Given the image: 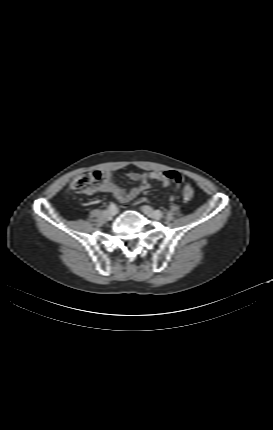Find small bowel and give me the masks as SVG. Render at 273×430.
<instances>
[{
	"label": "small bowel",
	"instance_id": "small-bowel-1",
	"mask_svg": "<svg viewBox=\"0 0 273 430\" xmlns=\"http://www.w3.org/2000/svg\"><path fill=\"white\" fill-rule=\"evenodd\" d=\"M102 174V182L97 187V190L102 193L111 194L121 203H127L134 198H136L141 192L148 189L152 181L159 182L163 187H168L171 182H176L179 186L180 176L175 171H165V172H129L128 177L138 182V185L126 191L122 187L118 186L113 181V176L111 172L104 171ZM171 199H174V195H171Z\"/></svg>",
	"mask_w": 273,
	"mask_h": 430
}]
</instances>
